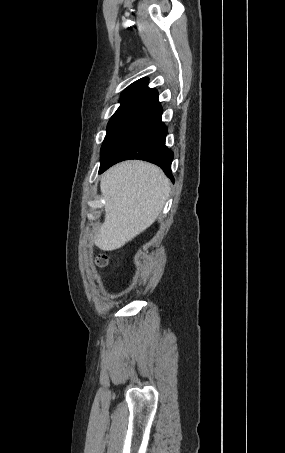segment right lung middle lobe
<instances>
[{"label": "right lung middle lobe", "instance_id": "1", "mask_svg": "<svg viewBox=\"0 0 285 453\" xmlns=\"http://www.w3.org/2000/svg\"><path fill=\"white\" fill-rule=\"evenodd\" d=\"M120 102H121V105H122V103H123L124 101H123V100H121ZM115 113H116V112H115ZM113 116H114V115H113ZM113 116L111 117V119H110V120H109V122H108V125H107V129H108V127H109L110 123L112 122Z\"/></svg>", "mask_w": 285, "mask_h": 453}]
</instances>
